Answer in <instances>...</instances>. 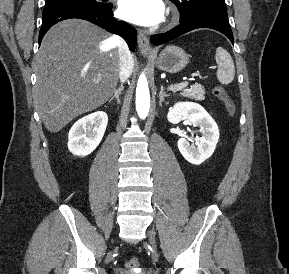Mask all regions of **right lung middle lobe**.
<instances>
[{"label":"right lung middle lobe","instance_id":"right-lung-middle-lobe-1","mask_svg":"<svg viewBox=\"0 0 289 274\" xmlns=\"http://www.w3.org/2000/svg\"><path fill=\"white\" fill-rule=\"evenodd\" d=\"M66 3H87V4H99L96 0H46L45 7L55 6Z\"/></svg>","mask_w":289,"mask_h":274}]
</instances>
